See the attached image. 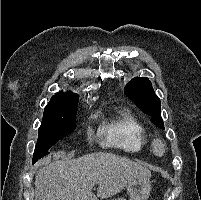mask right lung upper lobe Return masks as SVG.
Wrapping results in <instances>:
<instances>
[{
    "instance_id": "right-lung-upper-lobe-1",
    "label": "right lung upper lobe",
    "mask_w": 201,
    "mask_h": 200,
    "mask_svg": "<svg viewBox=\"0 0 201 200\" xmlns=\"http://www.w3.org/2000/svg\"><path fill=\"white\" fill-rule=\"evenodd\" d=\"M78 101V95L72 92H58L51 98V102H71Z\"/></svg>"
}]
</instances>
